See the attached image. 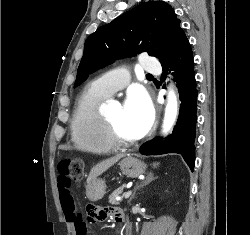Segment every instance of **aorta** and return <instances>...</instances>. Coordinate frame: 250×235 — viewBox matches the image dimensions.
<instances>
[{"label": "aorta", "instance_id": "1", "mask_svg": "<svg viewBox=\"0 0 250 235\" xmlns=\"http://www.w3.org/2000/svg\"><path fill=\"white\" fill-rule=\"evenodd\" d=\"M177 99L173 91H169L168 103L165 109V116L163 121V132L167 133L174 124L177 116Z\"/></svg>", "mask_w": 250, "mask_h": 235}]
</instances>
